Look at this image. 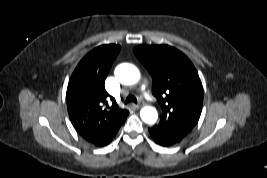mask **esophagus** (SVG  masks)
<instances>
[{"label": "esophagus", "instance_id": "esophagus-1", "mask_svg": "<svg viewBox=\"0 0 267 178\" xmlns=\"http://www.w3.org/2000/svg\"><path fill=\"white\" fill-rule=\"evenodd\" d=\"M143 104L144 103L142 101H140L138 104H135L134 107L139 109V108H141L143 106Z\"/></svg>", "mask_w": 267, "mask_h": 178}]
</instances>
